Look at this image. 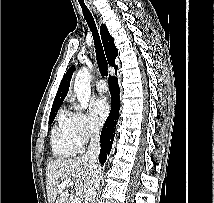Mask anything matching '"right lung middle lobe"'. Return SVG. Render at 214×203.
<instances>
[{
	"label": "right lung middle lobe",
	"instance_id": "right-lung-middle-lobe-1",
	"mask_svg": "<svg viewBox=\"0 0 214 203\" xmlns=\"http://www.w3.org/2000/svg\"><path fill=\"white\" fill-rule=\"evenodd\" d=\"M55 116H56V114L51 115V116L49 117V124H51V123L53 122Z\"/></svg>",
	"mask_w": 214,
	"mask_h": 203
}]
</instances>
